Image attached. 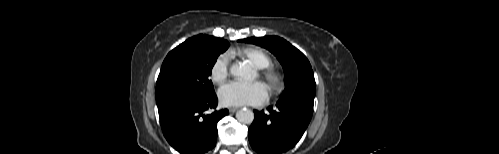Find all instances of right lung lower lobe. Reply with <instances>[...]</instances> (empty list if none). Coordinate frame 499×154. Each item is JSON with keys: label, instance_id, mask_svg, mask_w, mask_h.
Instances as JSON below:
<instances>
[{"label": "right lung lower lobe", "instance_id": "98d812e1", "mask_svg": "<svg viewBox=\"0 0 499 154\" xmlns=\"http://www.w3.org/2000/svg\"><path fill=\"white\" fill-rule=\"evenodd\" d=\"M216 94L203 99L174 96L157 102L163 135L181 154H203L216 145L217 122L228 110L214 111Z\"/></svg>", "mask_w": 499, "mask_h": 154}]
</instances>
